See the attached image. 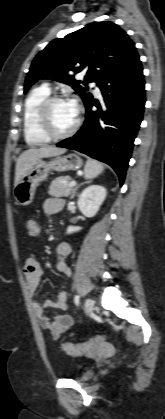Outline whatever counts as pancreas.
<instances>
[{"instance_id":"obj_1","label":"pancreas","mask_w":165,"mask_h":419,"mask_svg":"<svg viewBox=\"0 0 165 419\" xmlns=\"http://www.w3.org/2000/svg\"><path fill=\"white\" fill-rule=\"evenodd\" d=\"M71 177L69 176H60L55 178L51 185L49 186V195L54 197H67L73 191L72 187H69V181ZM67 181V182H63Z\"/></svg>"}]
</instances>
